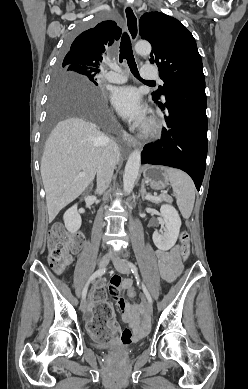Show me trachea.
<instances>
[{
	"mask_svg": "<svg viewBox=\"0 0 248 389\" xmlns=\"http://www.w3.org/2000/svg\"><path fill=\"white\" fill-rule=\"evenodd\" d=\"M124 59L127 60L128 66H129L132 74L136 78H138L142 81L154 84L153 81L143 80L140 77L138 69H137V65H136V62H135V59L133 56L130 37L126 32L123 33L122 38H121V43H120V58H119V60H120V62H122Z\"/></svg>",
	"mask_w": 248,
	"mask_h": 389,
	"instance_id": "obj_1",
	"label": "trachea"
}]
</instances>
